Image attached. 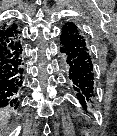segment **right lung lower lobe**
<instances>
[{
	"label": "right lung lower lobe",
	"mask_w": 117,
	"mask_h": 136,
	"mask_svg": "<svg viewBox=\"0 0 117 136\" xmlns=\"http://www.w3.org/2000/svg\"><path fill=\"white\" fill-rule=\"evenodd\" d=\"M23 65L20 31L16 24H11L0 33V106L16 109L20 105Z\"/></svg>",
	"instance_id": "98d812e1"
}]
</instances>
